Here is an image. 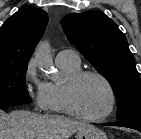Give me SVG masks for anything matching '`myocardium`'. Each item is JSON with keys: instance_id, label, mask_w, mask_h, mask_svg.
I'll list each match as a JSON object with an SVG mask.
<instances>
[{"instance_id": "myocardium-1", "label": "myocardium", "mask_w": 141, "mask_h": 139, "mask_svg": "<svg viewBox=\"0 0 141 139\" xmlns=\"http://www.w3.org/2000/svg\"><path fill=\"white\" fill-rule=\"evenodd\" d=\"M94 76L99 78L107 86L110 93V105L108 110L101 116H88L81 112L76 102V88L78 84L86 77ZM64 101L68 112L85 121L100 122L108 119L116 107L117 97L115 89L110 80L102 73L95 70H81L67 79L64 85Z\"/></svg>"}]
</instances>
